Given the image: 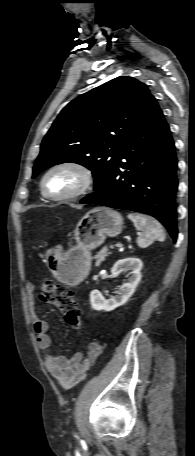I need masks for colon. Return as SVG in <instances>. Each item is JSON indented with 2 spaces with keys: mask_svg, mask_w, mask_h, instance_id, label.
<instances>
[{
  "mask_svg": "<svg viewBox=\"0 0 195 456\" xmlns=\"http://www.w3.org/2000/svg\"><path fill=\"white\" fill-rule=\"evenodd\" d=\"M39 297L43 302L57 307L71 327H81L82 311L71 291L51 279H45L39 287Z\"/></svg>",
  "mask_w": 195,
  "mask_h": 456,
  "instance_id": "obj_1",
  "label": "colon"
}]
</instances>
